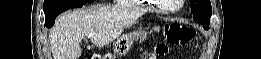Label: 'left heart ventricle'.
<instances>
[{"mask_svg":"<svg viewBox=\"0 0 261 59\" xmlns=\"http://www.w3.org/2000/svg\"><path fill=\"white\" fill-rule=\"evenodd\" d=\"M180 1L178 0H163L161 3L167 8H176Z\"/></svg>","mask_w":261,"mask_h":59,"instance_id":"left-heart-ventricle-1","label":"left heart ventricle"}]
</instances>
